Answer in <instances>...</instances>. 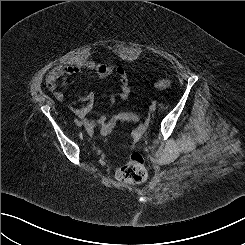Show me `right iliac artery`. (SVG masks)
<instances>
[{
    "mask_svg": "<svg viewBox=\"0 0 245 245\" xmlns=\"http://www.w3.org/2000/svg\"><path fill=\"white\" fill-rule=\"evenodd\" d=\"M74 122L78 125L80 121L78 119H75Z\"/></svg>",
    "mask_w": 245,
    "mask_h": 245,
    "instance_id": "82829eb1",
    "label": "right iliac artery"
}]
</instances>
